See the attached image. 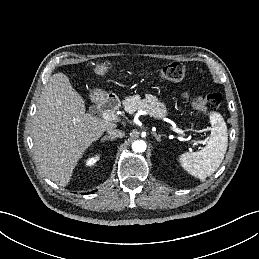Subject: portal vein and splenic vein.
I'll use <instances>...</instances> for the list:
<instances>
[{
  "label": "portal vein and splenic vein",
  "mask_w": 259,
  "mask_h": 259,
  "mask_svg": "<svg viewBox=\"0 0 259 259\" xmlns=\"http://www.w3.org/2000/svg\"><path fill=\"white\" fill-rule=\"evenodd\" d=\"M101 117L104 119V120H108V121H114L115 120V114L111 111H104L102 114H101ZM173 131H175L176 133L182 135V136H187L183 130L179 129V128H172ZM187 140H190L191 143H193V145H196L197 144V141L195 140H192L191 137H187L186 138Z\"/></svg>",
  "instance_id": "1"
}]
</instances>
